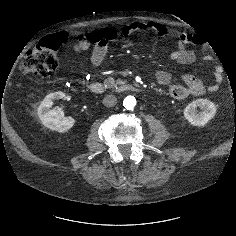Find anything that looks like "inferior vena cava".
<instances>
[{
	"instance_id": "obj_1",
	"label": "inferior vena cava",
	"mask_w": 236,
	"mask_h": 236,
	"mask_svg": "<svg viewBox=\"0 0 236 236\" xmlns=\"http://www.w3.org/2000/svg\"><path fill=\"white\" fill-rule=\"evenodd\" d=\"M117 103V98L114 95H106L103 99V105L106 107H113Z\"/></svg>"
}]
</instances>
